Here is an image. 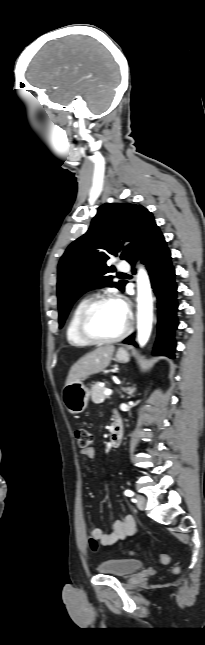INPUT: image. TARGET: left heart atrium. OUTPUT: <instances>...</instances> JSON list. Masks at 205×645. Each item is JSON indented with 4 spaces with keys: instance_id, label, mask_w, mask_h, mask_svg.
Listing matches in <instances>:
<instances>
[{
    "instance_id": "obj_1",
    "label": "left heart atrium",
    "mask_w": 205,
    "mask_h": 645,
    "mask_svg": "<svg viewBox=\"0 0 205 645\" xmlns=\"http://www.w3.org/2000/svg\"><path fill=\"white\" fill-rule=\"evenodd\" d=\"M116 304L120 308V310L123 312V314L127 317L128 316V305L126 301L122 298H116L115 299Z\"/></svg>"
}]
</instances>
